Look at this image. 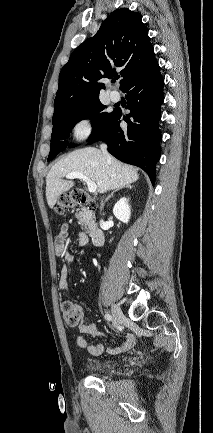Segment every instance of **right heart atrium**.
Listing matches in <instances>:
<instances>
[{"label":"right heart atrium","instance_id":"1","mask_svg":"<svg viewBox=\"0 0 213 433\" xmlns=\"http://www.w3.org/2000/svg\"><path fill=\"white\" fill-rule=\"evenodd\" d=\"M92 132V121L90 118L79 120L74 128L73 134L77 139H84Z\"/></svg>","mask_w":213,"mask_h":433}]
</instances>
